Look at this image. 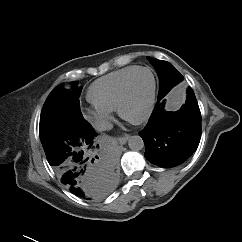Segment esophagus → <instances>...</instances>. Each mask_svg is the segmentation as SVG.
<instances>
[{"mask_svg": "<svg viewBox=\"0 0 242 242\" xmlns=\"http://www.w3.org/2000/svg\"><path fill=\"white\" fill-rule=\"evenodd\" d=\"M130 138V136L128 135V134H126V135H124V136H122V137H119L118 138V141H119V143L121 144V145H124L126 142H127V140Z\"/></svg>", "mask_w": 242, "mask_h": 242, "instance_id": "34e87169", "label": "esophagus"}]
</instances>
